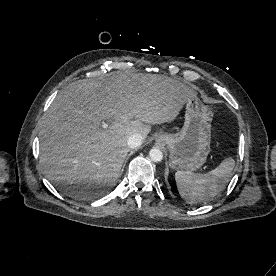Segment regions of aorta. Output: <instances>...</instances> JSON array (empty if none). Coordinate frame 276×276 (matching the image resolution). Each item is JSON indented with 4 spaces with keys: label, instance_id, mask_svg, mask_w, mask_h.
<instances>
[{
    "label": "aorta",
    "instance_id": "1",
    "mask_svg": "<svg viewBox=\"0 0 276 276\" xmlns=\"http://www.w3.org/2000/svg\"><path fill=\"white\" fill-rule=\"evenodd\" d=\"M149 157L153 162H161L163 159V153L159 148H152L149 152Z\"/></svg>",
    "mask_w": 276,
    "mask_h": 276
}]
</instances>
